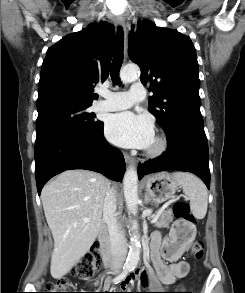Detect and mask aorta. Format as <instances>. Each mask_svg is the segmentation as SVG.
<instances>
[{
    "instance_id": "obj_1",
    "label": "aorta",
    "mask_w": 245,
    "mask_h": 293,
    "mask_svg": "<svg viewBox=\"0 0 245 293\" xmlns=\"http://www.w3.org/2000/svg\"><path fill=\"white\" fill-rule=\"evenodd\" d=\"M139 68L137 65H127L120 72V79L124 83H131L137 79ZM124 197L129 213H136L138 209V175L134 167L127 168L123 179ZM134 235L131 238V247L126 259V267L135 268L140 259V242L138 223L133 222Z\"/></svg>"
}]
</instances>
